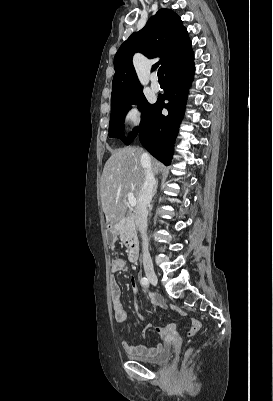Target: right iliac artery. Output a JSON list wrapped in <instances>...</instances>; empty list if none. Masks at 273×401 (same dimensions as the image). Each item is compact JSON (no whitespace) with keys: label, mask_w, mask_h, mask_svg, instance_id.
I'll return each instance as SVG.
<instances>
[{"label":"right iliac artery","mask_w":273,"mask_h":401,"mask_svg":"<svg viewBox=\"0 0 273 401\" xmlns=\"http://www.w3.org/2000/svg\"><path fill=\"white\" fill-rule=\"evenodd\" d=\"M141 284L145 287L149 286V280L146 277L141 278Z\"/></svg>","instance_id":"1"}]
</instances>
